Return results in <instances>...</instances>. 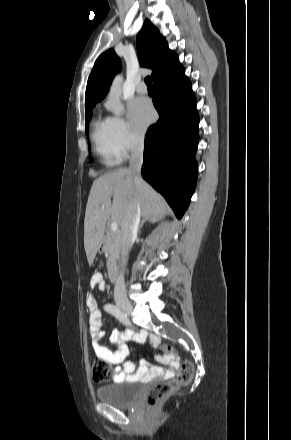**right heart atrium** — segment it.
Instances as JSON below:
<instances>
[{"instance_id":"obj_1","label":"right heart atrium","mask_w":291,"mask_h":440,"mask_svg":"<svg viewBox=\"0 0 291 440\" xmlns=\"http://www.w3.org/2000/svg\"><path fill=\"white\" fill-rule=\"evenodd\" d=\"M108 121L113 146L121 157H125L142 143L143 136L134 131L129 122L123 117L110 116Z\"/></svg>"}]
</instances>
